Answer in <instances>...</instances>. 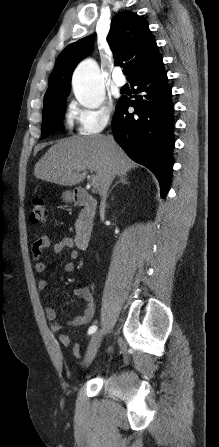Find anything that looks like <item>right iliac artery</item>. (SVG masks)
Returning a JSON list of instances; mask_svg holds the SVG:
<instances>
[{
	"label": "right iliac artery",
	"instance_id": "82829eb1",
	"mask_svg": "<svg viewBox=\"0 0 219 447\" xmlns=\"http://www.w3.org/2000/svg\"><path fill=\"white\" fill-rule=\"evenodd\" d=\"M97 330V326L92 325L89 329H88V334L91 335L93 333H95Z\"/></svg>",
	"mask_w": 219,
	"mask_h": 447
}]
</instances>
